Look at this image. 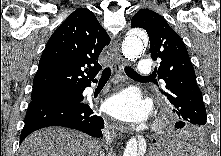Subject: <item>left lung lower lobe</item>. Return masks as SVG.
<instances>
[{"instance_id":"1","label":"left lung lower lobe","mask_w":221,"mask_h":156,"mask_svg":"<svg viewBox=\"0 0 221 156\" xmlns=\"http://www.w3.org/2000/svg\"><path fill=\"white\" fill-rule=\"evenodd\" d=\"M186 126V122H184V121H178V122H176V124H175V128H183V127H185ZM154 142H155V140H154ZM221 154V153H220Z\"/></svg>"}]
</instances>
